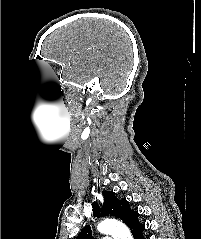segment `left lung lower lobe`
Masks as SVG:
<instances>
[{"instance_id":"left-lung-lower-lobe-1","label":"left lung lower lobe","mask_w":201,"mask_h":239,"mask_svg":"<svg viewBox=\"0 0 201 239\" xmlns=\"http://www.w3.org/2000/svg\"><path fill=\"white\" fill-rule=\"evenodd\" d=\"M144 230H145V225L140 224V223L138 225H136L131 230L134 239H146L142 236Z\"/></svg>"}]
</instances>
